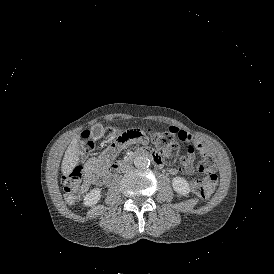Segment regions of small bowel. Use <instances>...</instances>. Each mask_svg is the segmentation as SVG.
<instances>
[{
  "instance_id": "c3829d8e",
  "label": "small bowel",
  "mask_w": 274,
  "mask_h": 274,
  "mask_svg": "<svg viewBox=\"0 0 274 274\" xmlns=\"http://www.w3.org/2000/svg\"><path fill=\"white\" fill-rule=\"evenodd\" d=\"M169 131L175 136L180 135L181 140L191 143L187 147V150L190 153L186 157H183L179 161V164L185 168L184 172L187 175H192L194 173L193 166L195 165V156L192 153L196 150V147L202 151L199 155V158L202 161H205L208 158V155L204 152L205 148L203 143L185 131L175 132L172 127H169ZM135 142L142 145L147 144V140L142 136L135 140ZM126 144H113L106 151L93 155L85 162L83 168V183L80 189L82 194H87L91 186L100 187L107 183L111 174L112 166L114 165L113 160L117 157L120 151L123 150ZM169 171L171 174H177L179 172L176 168H170ZM195 171L203 176H206L209 173V181L212 184H216L219 181L220 175L210 161H206L203 165H198L195 168Z\"/></svg>"
}]
</instances>
